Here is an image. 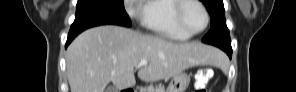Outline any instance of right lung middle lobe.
<instances>
[{
	"label": "right lung middle lobe",
	"mask_w": 296,
	"mask_h": 92,
	"mask_svg": "<svg viewBox=\"0 0 296 92\" xmlns=\"http://www.w3.org/2000/svg\"><path fill=\"white\" fill-rule=\"evenodd\" d=\"M115 24L130 27L124 0H78L73 26Z\"/></svg>",
	"instance_id": "obj_1"
}]
</instances>
